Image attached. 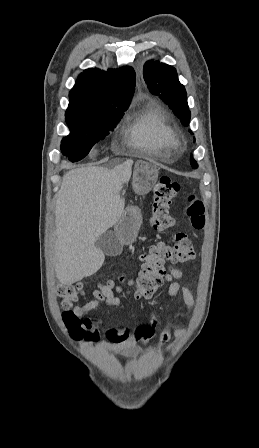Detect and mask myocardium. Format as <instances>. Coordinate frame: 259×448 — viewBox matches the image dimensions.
Instances as JSON below:
<instances>
[{
  "label": "myocardium",
  "mask_w": 259,
  "mask_h": 448,
  "mask_svg": "<svg viewBox=\"0 0 259 448\" xmlns=\"http://www.w3.org/2000/svg\"><path fill=\"white\" fill-rule=\"evenodd\" d=\"M171 143H172V150L168 154L163 155L162 153L159 152L150 154L145 152L146 156H154L156 158V163H159L160 157H165L166 163H174L176 158L183 153L184 141L174 133L171 139Z\"/></svg>",
  "instance_id": "obj_1"
}]
</instances>
